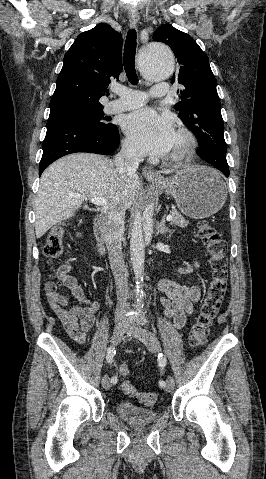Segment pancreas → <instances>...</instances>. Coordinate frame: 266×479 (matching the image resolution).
<instances>
[{
    "label": "pancreas",
    "instance_id": "1",
    "mask_svg": "<svg viewBox=\"0 0 266 479\" xmlns=\"http://www.w3.org/2000/svg\"><path fill=\"white\" fill-rule=\"evenodd\" d=\"M171 215L173 216L171 224L177 225L182 228L186 227L189 224V221L186 220L177 210L173 209L171 211Z\"/></svg>",
    "mask_w": 266,
    "mask_h": 479
}]
</instances>
